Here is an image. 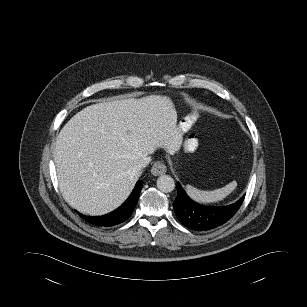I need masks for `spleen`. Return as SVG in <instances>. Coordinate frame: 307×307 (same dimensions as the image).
Here are the masks:
<instances>
[{"label":"spleen","instance_id":"obj_1","mask_svg":"<svg viewBox=\"0 0 307 307\" xmlns=\"http://www.w3.org/2000/svg\"><path fill=\"white\" fill-rule=\"evenodd\" d=\"M237 186L235 181L229 183L225 187L213 191H202L190 185L187 186L186 191L188 195L197 202L210 203L217 202L229 195Z\"/></svg>","mask_w":307,"mask_h":307}]
</instances>
